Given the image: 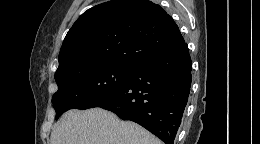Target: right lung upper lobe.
Wrapping results in <instances>:
<instances>
[{
    "mask_svg": "<svg viewBox=\"0 0 260 144\" xmlns=\"http://www.w3.org/2000/svg\"><path fill=\"white\" fill-rule=\"evenodd\" d=\"M184 42L161 6L148 0L105 2L84 12L68 31L55 76L105 64L133 67Z\"/></svg>",
    "mask_w": 260,
    "mask_h": 144,
    "instance_id": "1",
    "label": "right lung upper lobe"
}]
</instances>
